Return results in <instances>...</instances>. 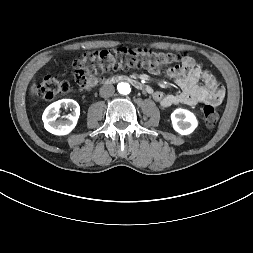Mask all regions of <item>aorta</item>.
Here are the masks:
<instances>
[{"instance_id":"aorta-1","label":"aorta","mask_w":253,"mask_h":253,"mask_svg":"<svg viewBox=\"0 0 253 253\" xmlns=\"http://www.w3.org/2000/svg\"><path fill=\"white\" fill-rule=\"evenodd\" d=\"M117 90L120 94L127 95L131 92L129 83L121 82L117 85Z\"/></svg>"}]
</instances>
